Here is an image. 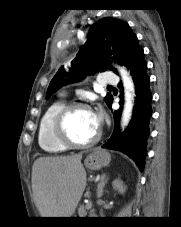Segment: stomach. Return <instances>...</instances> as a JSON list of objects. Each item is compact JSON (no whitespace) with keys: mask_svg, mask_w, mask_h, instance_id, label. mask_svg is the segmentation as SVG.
Listing matches in <instances>:
<instances>
[{"mask_svg":"<svg viewBox=\"0 0 181 227\" xmlns=\"http://www.w3.org/2000/svg\"><path fill=\"white\" fill-rule=\"evenodd\" d=\"M110 154L101 149H95L84 160V165L89 170H100L110 163Z\"/></svg>","mask_w":181,"mask_h":227,"instance_id":"0dacf381","label":"stomach"}]
</instances>
